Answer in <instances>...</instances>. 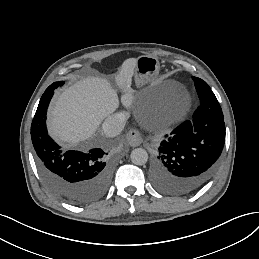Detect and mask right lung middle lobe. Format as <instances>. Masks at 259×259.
Masks as SVG:
<instances>
[{
	"instance_id": "obj_1",
	"label": "right lung middle lobe",
	"mask_w": 259,
	"mask_h": 259,
	"mask_svg": "<svg viewBox=\"0 0 259 259\" xmlns=\"http://www.w3.org/2000/svg\"><path fill=\"white\" fill-rule=\"evenodd\" d=\"M64 81H60V82H54L53 84H51L45 92H49V91H54L56 88H58L59 86L63 85Z\"/></svg>"
}]
</instances>
